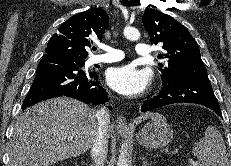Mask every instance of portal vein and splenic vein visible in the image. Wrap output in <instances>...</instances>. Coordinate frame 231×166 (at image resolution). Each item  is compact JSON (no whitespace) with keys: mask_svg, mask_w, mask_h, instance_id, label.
I'll return each mask as SVG.
<instances>
[{"mask_svg":"<svg viewBox=\"0 0 231 166\" xmlns=\"http://www.w3.org/2000/svg\"><path fill=\"white\" fill-rule=\"evenodd\" d=\"M191 166H199L197 163H195V162H191Z\"/></svg>","mask_w":231,"mask_h":166,"instance_id":"portal-vein-and-splenic-vein-1","label":"portal vein and splenic vein"}]
</instances>
